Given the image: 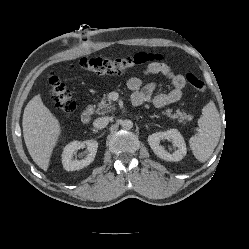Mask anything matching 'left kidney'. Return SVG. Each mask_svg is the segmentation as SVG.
<instances>
[{
    "label": "left kidney",
    "mask_w": 249,
    "mask_h": 249,
    "mask_svg": "<svg viewBox=\"0 0 249 249\" xmlns=\"http://www.w3.org/2000/svg\"><path fill=\"white\" fill-rule=\"evenodd\" d=\"M166 139L172 141L177 150L173 153L166 152L160 145V141ZM148 143L154 153L161 159L166 161H180L187 153L186 144L183 136L177 129H170L165 132H156L148 136Z\"/></svg>",
    "instance_id": "left-kidney-1"
}]
</instances>
